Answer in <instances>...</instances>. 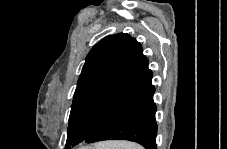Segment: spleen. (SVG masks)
Segmentation results:
<instances>
[{"mask_svg": "<svg viewBox=\"0 0 227 149\" xmlns=\"http://www.w3.org/2000/svg\"><path fill=\"white\" fill-rule=\"evenodd\" d=\"M98 149H143L140 145L127 141H111L97 145Z\"/></svg>", "mask_w": 227, "mask_h": 149, "instance_id": "3e777b00", "label": "spleen"}]
</instances>
